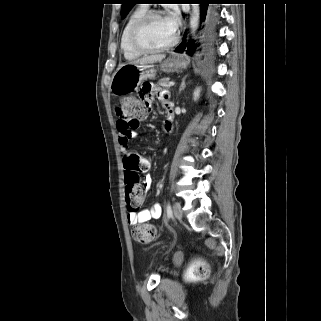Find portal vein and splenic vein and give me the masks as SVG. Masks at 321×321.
I'll use <instances>...</instances> for the list:
<instances>
[{"label":"portal vein and splenic vein","instance_id":"1","mask_svg":"<svg viewBox=\"0 0 321 321\" xmlns=\"http://www.w3.org/2000/svg\"><path fill=\"white\" fill-rule=\"evenodd\" d=\"M175 83L173 81L169 82V87L174 86Z\"/></svg>","mask_w":321,"mask_h":321}]
</instances>
